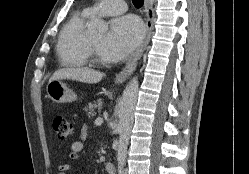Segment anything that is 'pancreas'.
I'll list each match as a JSON object with an SVG mask.
<instances>
[{
  "instance_id": "1",
  "label": "pancreas",
  "mask_w": 249,
  "mask_h": 174,
  "mask_svg": "<svg viewBox=\"0 0 249 174\" xmlns=\"http://www.w3.org/2000/svg\"><path fill=\"white\" fill-rule=\"evenodd\" d=\"M102 105H103L102 99H97L93 103H89L85 107V110L89 111L88 116H94L96 114L95 110H97L98 113H100L102 110Z\"/></svg>"
}]
</instances>
